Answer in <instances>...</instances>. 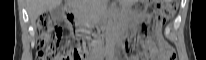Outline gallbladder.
Wrapping results in <instances>:
<instances>
[{
	"instance_id": "1",
	"label": "gallbladder",
	"mask_w": 206,
	"mask_h": 60,
	"mask_svg": "<svg viewBox=\"0 0 206 60\" xmlns=\"http://www.w3.org/2000/svg\"><path fill=\"white\" fill-rule=\"evenodd\" d=\"M64 14V6L63 4L55 7L54 9L50 10V15L52 19L56 21H61L63 19Z\"/></svg>"
}]
</instances>
